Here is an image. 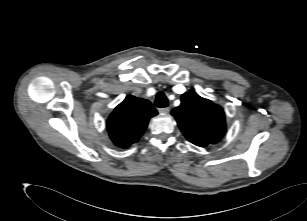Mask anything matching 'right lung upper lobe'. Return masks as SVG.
I'll return each instance as SVG.
<instances>
[{
	"label": "right lung upper lobe",
	"mask_w": 307,
	"mask_h": 221,
	"mask_svg": "<svg viewBox=\"0 0 307 221\" xmlns=\"http://www.w3.org/2000/svg\"><path fill=\"white\" fill-rule=\"evenodd\" d=\"M155 115L157 110L148 100L128 95L107 120L111 140L120 148L129 147L139 140Z\"/></svg>",
	"instance_id": "right-lung-upper-lobe-1"
}]
</instances>
